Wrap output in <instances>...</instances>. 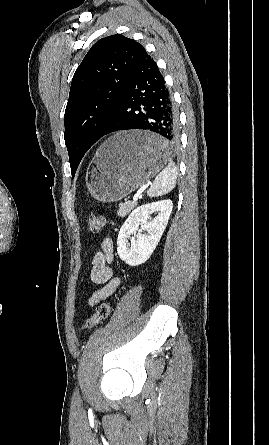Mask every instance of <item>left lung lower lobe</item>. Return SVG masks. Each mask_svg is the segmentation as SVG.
<instances>
[{
  "mask_svg": "<svg viewBox=\"0 0 269 445\" xmlns=\"http://www.w3.org/2000/svg\"><path fill=\"white\" fill-rule=\"evenodd\" d=\"M128 129L155 132L171 146L178 142V117L171 94L156 62L146 51L121 95L114 119L102 136Z\"/></svg>",
  "mask_w": 269,
  "mask_h": 445,
  "instance_id": "1",
  "label": "left lung lower lobe"
}]
</instances>
